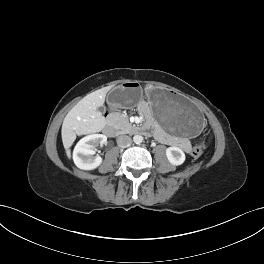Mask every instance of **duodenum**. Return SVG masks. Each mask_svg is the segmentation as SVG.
I'll return each mask as SVG.
<instances>
[{
    "instance_id": "duodenum-1",
    "label": "duodenum",
    "mask_w": 264,
    "mask_h": 264,
    "mask_svg": "<svg viewBox=\"0 0 264 264\" xmlns=\"http://www.w3.org/2000/svg\"><path fill=\"white\" fill-rule=\"evenodd\" d=\"M104 132L107 136H114L116 134V128L110 121H108L104 127ZM129 132L132 134H143L147 133L148 129L146 127L134 126L129 129Z\"/></svg>"
}]
</instances>
